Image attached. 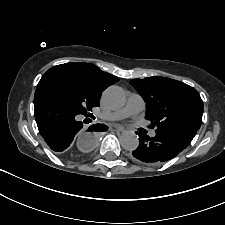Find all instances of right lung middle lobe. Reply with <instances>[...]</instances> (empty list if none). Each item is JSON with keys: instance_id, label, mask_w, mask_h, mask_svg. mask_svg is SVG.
<instances>
[{"instance_id": "1", "label": "right lung middle lobe", "mask_w": 225, "mask_h": 225, "mask_svg": "<svg viewBox=\"0 0 225 225\" xmlns=\"http://www.w3.org/2000/svg\"><path fill=\"white\" fill-rule=\"evenodd\" d=\"M36 91L55 98L82 115H87L93 106H98V101L84 84L62 71L48 70Z\"/></svg>"}]
</instances>
